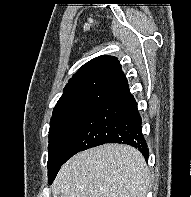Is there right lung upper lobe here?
Listing matches in <instances>:
<instances>
[{
  "label": "right lung upper lobe",
  "instance_id": "right-lung-upper-lobe-1",
  "mask_svg": "<svg viewBox=\"0 0 191 197\" xmlns=\"http://www.w3.org/2000/svg\"><path fill=\"white\" fill-rule=\"evenodd\" d=\"M127 83L116 57L102 55L84 64L69 80L53 115L80 107H94L115 88Z\"/></svg>",
  "mask_w": 191,
  "mask_h": 197
}]
</instances>
